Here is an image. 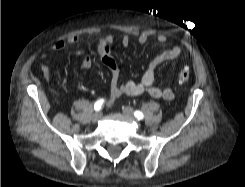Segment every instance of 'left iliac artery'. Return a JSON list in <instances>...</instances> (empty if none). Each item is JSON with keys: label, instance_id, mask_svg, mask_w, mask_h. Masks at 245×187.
<instances>
[{"label": "left iliac artery", "instance_id": "44dca946", "mask_svg": "<svg viewBox=\"0 0 245 187\" xmlns=\"http://www.w3.org/2000/svg\"><path fill=\"white\" fill-rule=\"evenodd\" d=\"M134 115H135V117H136L137 119H139V120H141V119L144 118L143 113L140 112V111H135Z\"/></svg>", "mask_w": 245, "mask_h": 187}]
</instances>
